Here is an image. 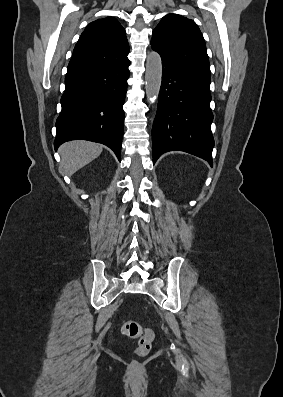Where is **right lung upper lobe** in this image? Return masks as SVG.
<instances>
[{"mask_svg":"<svg viewBox=\"0 0 283 397\" xmlns=\"http://www.w3.org/2000/svg\"><path fill=\"white\" fill-rule=\"evenodd\" d=\"M129 45L124 28L113 17L88 24L69 62L67 75L108 67L128 61Z\"/></svg>","mask_w":283,"mask_h":397,"instance_id":"1","label":"right lung upper lobe"}]
</instances>
